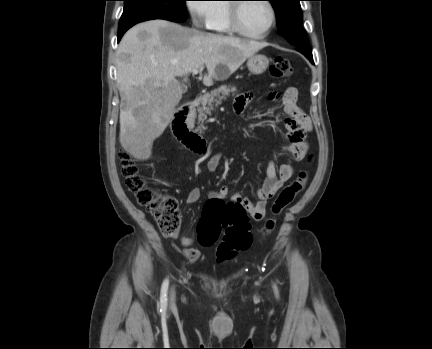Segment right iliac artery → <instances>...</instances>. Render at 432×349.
Segmentation results:
<instances>
[{
    "mask_svg": "<svg viewBox=\"0 0 432 349\" xmlns=\"http://www.w3.org/2000/svg\"><path fill=\"white\" fill-rule=\"evenodd\" d=\"M169 286V280L165 279L163 281L162 287H161V294H160V311H165L167 308V291Z\"/></svg>",
    "mask_w": 432,
    "mask_h": 349,
    "instance_id": "82829eb1",
    "label": "right iliac artery"
}]
</instances>
